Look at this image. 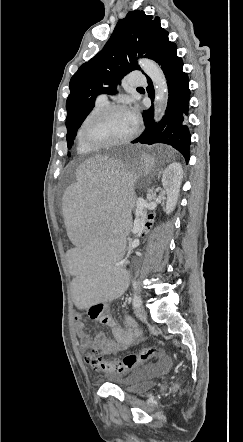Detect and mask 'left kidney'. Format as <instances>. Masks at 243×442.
Listing matches in <instances>:
<instances>
[{
	"label": "left kidney",
	"mask_w": 243,
	"mask_h": 442,
	"mask_svg": "<svg viewBox=\"0 0 243 442\" xmlns=\"http://www.w3.org/2000/svg\"><path fill=\"white\" fill-rule=\"evenodd\" d=\"M183 169L180 163L170 164L163 172L162 185L167 193L166 214L174 211L181 185Z\"/></svg>",
	"instance_id": "obj_1"
}]
</instances>
